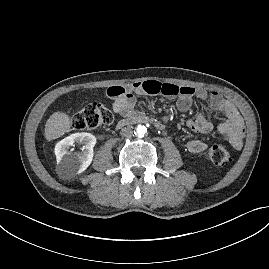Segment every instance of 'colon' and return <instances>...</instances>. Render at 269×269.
<instances>
[{
  "label": "colon",
  "instance_id": "5ec220e1",
  "mask_svg": "<svg viewBox=\"0 0 269 269\" xmlns=\"http://www.w3.org/2000/svg\"><path fill=\"white\" fill-rule=\"evenodd\" d=\"M113 120L112 111L101 103H90L80 109L72 118V127L76 130H93L110 124ZM209 159L215 165L230 162L229 151L221 145H212L208 150Z\"/></svg>",
  "mask_w": 269,
  "mask_h": 269
}]
</instances>
